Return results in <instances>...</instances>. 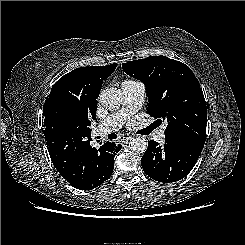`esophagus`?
Masks as SVG:
<instances>
[{
	"label": "esophagus",
	"mask_w": 245,
	"mask_h": 245,
	"mask_svg": "<svg viewBox=\"0 0 245 245\" xmlns=\"http://www.w3.org/2000/svg\"><path fill=\"white\" fill-rule=\"evenodd\" d=\"M132 138L130 134H123L119 137V140L123 143H127Z\"/></svg>",
	"instance_id": "1"
}]
</instances>
